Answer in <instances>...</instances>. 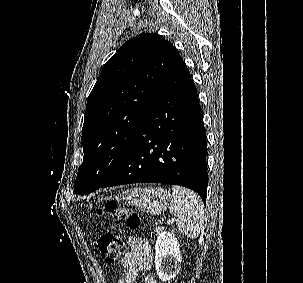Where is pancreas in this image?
Returning <instances> with one entry per match:
<instances>
[{"instance_id": "pancreas-1", "label": "pancreas", "mask_w": 303, "mask_h": 283, "mask_svg": "<svg viewBox=\"0 0 303 283\" xmlns=\"http://www.w3.org/2000/svg\"><path fill=\"white\" fill-rule=\"evenodd\" d=\"M163 231V227H156L155 228V232L157 233V234H159L160 232H162Z\"/></svg>"}]
</instances>
